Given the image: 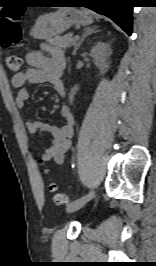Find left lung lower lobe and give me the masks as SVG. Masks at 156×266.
I'll return each instance as SVG.
<instances>
[{
	"label": "left lung lower lobe",
	"instance_id": "0a47b994",
	"mask_svg": "<svg viewBox=\"0 0 156 266\" xmlns=\"http://www.w3.org/2000/svg\"><path fill=\"white\" fill-rule=\"evenodd\" d=\"M64 3V2H57ZM78 7H88L117 23L128 35L132 34L133 0H70Z\"/></svg>",
	"mask_w": 156,
	"mask_h": 266
}]
</instances>
